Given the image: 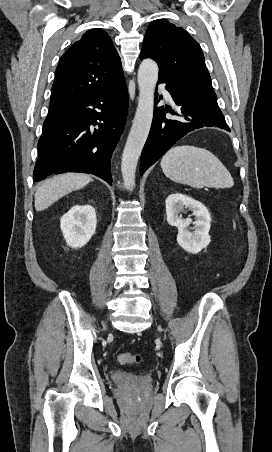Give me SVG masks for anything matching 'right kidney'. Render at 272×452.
I'll use <instances>...</instances> for the list:
<instances>
[{
  "mask_svg": "<svg viewBox=\"0 0 272 452\" xmlns=\"http://www.w3.org/2000/svg\"><path fill=\"white\" fill-rule=\"evenodd\" d=\"M96 211L91 205H75L60 219V228L67 245L80 248L96 232Z\"/></svg>",
  "mask_w": 272,
  "mask_h": 452,
  "instance_id": "right-kidney-1",
  "label": "right kidney"
}]
</instances>
